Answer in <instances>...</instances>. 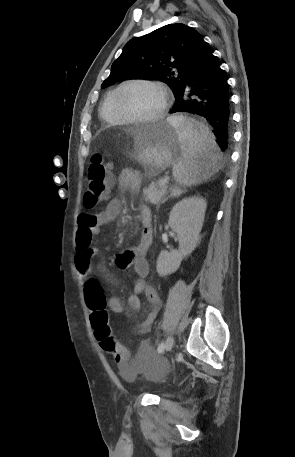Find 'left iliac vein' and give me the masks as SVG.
<instances>
[{
    "label": "left iliac vein",
    "instance_id": "left-iliac-vein-1",
    "mask_svg": "<svg viewBox=\"0 0 295 457\" xmlns=\"http://www.w3.org/2000/svg\"><path fill=\"white\" fill-rule=\"evenodd\" d=\"M174 345V338L173 336H169L165 342V351H170L173 348Z\"/></svg>",
    "mask_w": 295,
    "mask_h": 457
}]
</instances>
